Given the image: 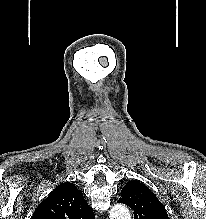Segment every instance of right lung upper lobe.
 Listing matches in <instances>:
<instances>
[{
    "instance_id": "obj_1",
    "label": "right lung upper lobe",
    "mask_w": 206,
    "mask_h": 219,
    "mask_svg": "<svg viewBox=\"0 0 206 219\" xmlns=\"http://www.w3.org/2000/svg\"><path fill=\"white\" fill-rule=\"evenodd\" d=\"M31 219H94V213L82 192L74 184L64 182L43 200Z\"/></svg>"
}]
</instances>
